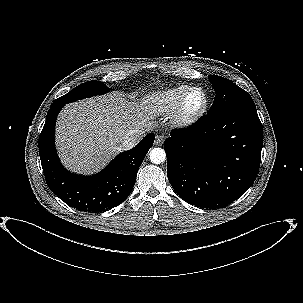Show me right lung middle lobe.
<instances>
[{"label":"right lung middle lobe","instance_id":"right-lung-middle-lobe-1","mask_svg":"<svg viewBox=\"0 0 303 303\" xmlns=\"http://www.w3.org/2000/svg\"><path fill=\"white\" fill-rule=\"evenodd\" d=\"M109 91L110 89L101 81H88L78 85L69 93L59 97L54 102H62L63 104H67L83 98L101 95Z\"/></svg>","mask_w":303,"mask_h":303}]
</instances>
